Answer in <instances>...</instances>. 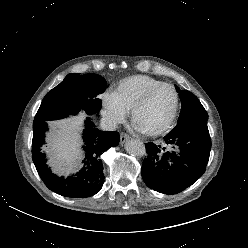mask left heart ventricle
Returning <instances> with one entry per match:
<instances>
[{
	"instance_id": "b2bd125f",
	"label": "left heart ventricle",
	"mask_w": 248,
	"mask_h": 248,
	"mask_svg": "<svg viewBox=\"0 0 248 248\" xmlns=\"http://www.w3.org/2000/svg\"><path fill=\"white\" fill-rule=\"evenodd\" d=\"M173 106V90L162 87L152 95L147 105L137 114L134 125L141 131L156 130L168 121Z\"/></svg>"
}]
</instances>
